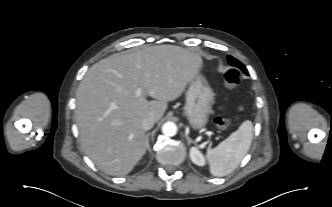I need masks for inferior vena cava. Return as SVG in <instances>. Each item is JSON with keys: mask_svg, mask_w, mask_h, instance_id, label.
<instances>
[{"mask_svg": "<svg viewBox=\"0 0 332 207\" xmlns=\"http://www.w3.org/2000/svg\"><path fill=\"white\" fill-rule=\"evenodd\" d=\"M155 122H156L155 117L152 115H148L143 118L142 127L145 131H148L154 126Z\"/></svg>", "mask_w": 332, "mask_h": 207, "instance_id": "1", "label": "inferior vena cava"}]
</instances>
